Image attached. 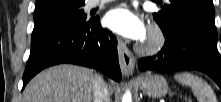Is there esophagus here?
<instances>
[{"instance_id":"34e87169","label":"esophagus","mask_w":221,"mask_h":102,"mask_svg":"<svg viewBox=\"0 0 221 102\" xmlns=\"http://www.w3.org/2000/svg\"><path fill=\"white\" fill-rule=\"evenodd\" d=\"M118 55L121 71L129 76L133 73L136 58L122 40H118Z\"/></svg>"}]
</instances>
